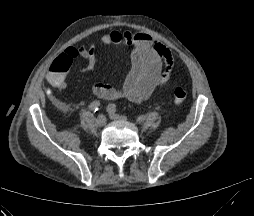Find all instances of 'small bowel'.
Wrapping results in <instances>:
<instances>
[{
  "label": "small bowel",
  "mask_w": 254,
  "mask_h": 216,
  "mask_svg": "<svg viewBox=\"0 0 254 216\" xmlns=\"http://www.w3.org/2000/svg\"><path fill=\"white\" fill-rule=\"evenodd\" d=\"M120 44L130 47L131 68L125 81L120 87L97 83L92 87V93L103 100L126 98L133 102L145 101L156 89L166 84L174 61L170 49L146 33L112 31L104 34L98 44L66 49L61 55V61L70 65L76 57H81L87 62L83 71L91 74L97 67V47ZM48 82L52 88L59 90L68 87L66 72L57 78H53V74L49 73Z\"/></svg>",
  "instance_id": "small-bowel-1"
}]
</instances>
